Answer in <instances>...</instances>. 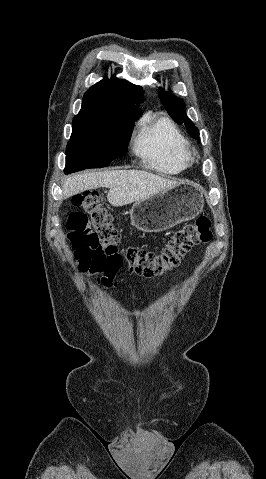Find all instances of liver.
I'll return each mask as SVG.
<instances>
[{
    "mask_svg": "<svg viewBox=\"0 0 266 479\" xmlns=\"http://www.w3.org/2000/svg\"><path fill=\"white\" fill-rule=\"evenodd\" d=\"M179 182L142 170L90 172L67 177L62 182L63 198L100 187L109 188L107 199L115 207L145 200Z\"/></svg>",
    "mask_w": 266,
    "mask_h": 479,
    "instance_id": "liver-1",
    "label": "liver"
}]
</instances>
